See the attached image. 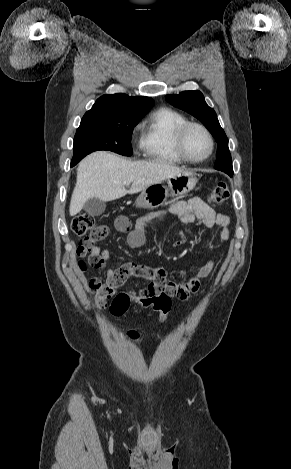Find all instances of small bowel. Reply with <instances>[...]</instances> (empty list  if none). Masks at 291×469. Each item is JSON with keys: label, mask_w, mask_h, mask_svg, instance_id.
I'll list each match as a JSON object with an SVG mask.
<instances>
[{"label": "small bowel", "mask_w": 291, "mask_h": 469, "mask_svg": "<svg viewBox=\"0 0 291 469\" xmlns=\"http://www.w3.org/2000/svg\"><path fill=\"white\" fill-rule=\"evenodd\" d=\"M168 214L176 216L180 223L184 225L198 221L206 228L218 226L221 228L219 237L223 241L228 240L230 237L228 228L229 218L224 214L217 213L212 204L199 196L192 197L186 201H178L168 211L141 218L134 225L131 224V221L126 216H118L113 222V228L119 233L127 234V243L130 247L139 248L145 244V226L152 221L165 219ZM106 229L108 233V228L106 227ZM185 243L186 239L184 236L180 232H176L173 246L179 247L185 245ZM90 255L99 258L103 265L110 258L107 250L96 246L91 248ZM213 268V261L208 260L197 268L186 281L176 283L167 280L166 271L162 267L152 268L135 263H125L118 268H106V281L104 283L97 278H93L90 280L89 285L93 282L102 284V288L95 292L96 304L101 308H104L107 300L114 296L116 289L130 279L149 281V284L144 289L138 292H127V296L132 299H135L137 296H148L152 288L153 294L168 293L170 299L177 298L185 301L192 294L200 290L201 281L212 273Z\"/></svg>", "instance_id": "small-bowel-1"}]
</instances>
